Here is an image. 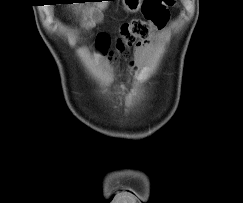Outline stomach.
Segmentation results:
<instances>
[{
  "label": "stomach",
  "mask_w": 243,
  "mask_h": 203,
  "mask_svg": "<svg viewBox=\"0 0 243 203\" xmlns=\"http://www.w3.org/2000/svg\"><path fill=\"white\" fill-rule=\"evenodd\" d=\"M142 2L143 0H122L124 9L130 13L137 12L141 7Z\"/></svg>",
  "instance_id": "1"
}]
</instances>
